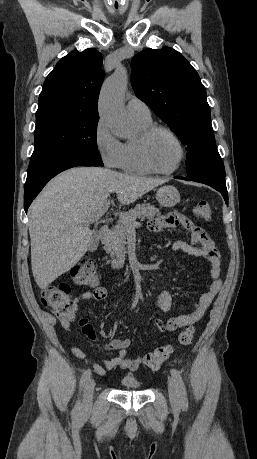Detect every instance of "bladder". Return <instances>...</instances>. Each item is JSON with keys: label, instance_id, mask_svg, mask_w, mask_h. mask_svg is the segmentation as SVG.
Masks as SVG:
<instances>
[{"label": "bladder", "instance_id": "bladder-1", "mask_svg": "<svg viewBox=\"0 0 257 459\" xmlns=\"http://www.w3.org/2000/svg\"><path fill=\"white\" fill-rule=\"evenodd\" d=\"M120 385L124 390L130 391H137L142 387V384L133 376H123L120 379Z\"/></svg>", "mask_w": 257, "mask_h": 459}]
</instances>
